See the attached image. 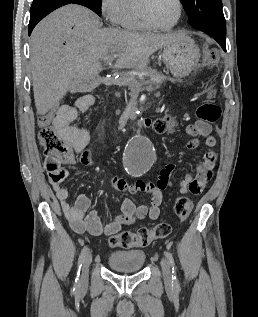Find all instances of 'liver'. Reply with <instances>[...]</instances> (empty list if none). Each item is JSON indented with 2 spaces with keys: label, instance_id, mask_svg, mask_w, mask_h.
Returning a JSON list of instances; mask_svg holds the SVG:
<instances>
[{
  "label": "liver",
  "instance_id": "liver-1",
  "mask_svg": "<svg viewBox=\"0 0 258 317\" xmlns=\"http://www.w3.org/2000/svg\"><path fill=\"white\" fill-rule=\"evenodd\" d=\"M100 18L80 4L57 8L30 36V64L38 114H46L66 92H79L99 76V58L117 54L112 68H147L150 54L181 40L183 30L153 34L99 28Z\"/></svg>",
  "mask_w": 258,
  "mask_h": 317
}]
</instances>
